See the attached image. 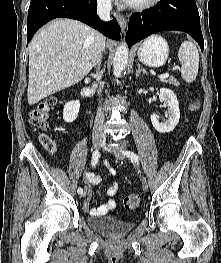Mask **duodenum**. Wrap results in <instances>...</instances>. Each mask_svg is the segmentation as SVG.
I'll return each mask as SVG.
<instances>
[{
    "label": "duodenum",
    "instance_id": "1",
    "mask_svg": "<svg viewBox=\"0 0 221 263\" xmlns=\"http://www.w3.org/2000/svg\"><path fill=\"white\" fill-rule=\"evenodd\" d=\"M80 94L82 98H89L92 95V91L90 88L85 87L81 90Z\"/></svg>",
    "mask_w": 221,
    "mask_h": 263
}]
</instances>
